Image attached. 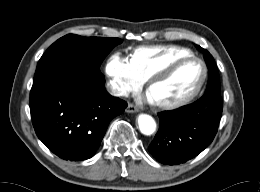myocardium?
<instances>
[{
	"label": "myocardium",
	"instance_id": "obj_1",
	"mask_svg": "<svg viewBox=\"0 0 260 192\" xmlns=\"http://www.w3.org/2000/svg\"><path fill=\"white\" fill-rule=\"evenodd\" d=\"M185 63H197L200 66V76H199V79H198L196 85L188 93H186L185 95H183L177 99H174V100L160 101V100L153 98L151 95V89H152L153 85L155 83L165 79L169 75H171L179 66H181ZM205 78H206V68H205L204 63L201 60H199L198 58L187 57V58L176 60V61L170 63L169 65H167L166 67L162 68L161 70L157 71L153 75H151L147 81V92H148L149 96L155 100L157 105H159L161 107H170L175 104L189 100L190 98L195 96L198 93V91L201 89V87L205 81Z\"/></svg>",
	"mask_w": 260,
	"mask_h": 192
}]
</instances>
